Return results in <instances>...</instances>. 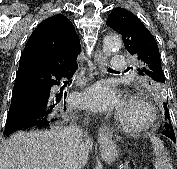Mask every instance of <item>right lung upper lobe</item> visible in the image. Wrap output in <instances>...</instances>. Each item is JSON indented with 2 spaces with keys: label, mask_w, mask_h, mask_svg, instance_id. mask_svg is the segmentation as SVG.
<instances>
[{
  "label": "right lung upper lobe",
  "mask_w": 177,
  "mask_h": 169,
  "mask_svg": "<svg viewBox=\"0 0 177 169\" xmlns=\"http://www.w3.org/2000/svg\"><path fill=\"white\" fill-rule=\"evenodd\" d=\"M81 46L75 28L63 15H54L38 25L23 51L19 67L72 69Z\"/></svg>",
  "instance_id": "right-lung-upper-lobe-1"
}]
</instances>
